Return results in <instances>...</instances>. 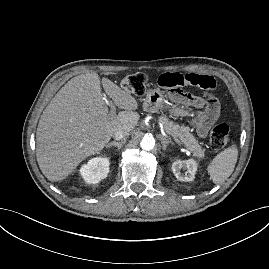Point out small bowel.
<instances>
[{
    "label": "small bowel",
    "mask_w": 269,
    "mask_h": 269,
    "mask_svg": "<svg viewBox=\"0 0 269 269\" xmlns=\"http://www.w3.org/2000/svg\"><path fill=\"white\" fill-rule=\"evenodd\" d=\"M157 83L159 86L167 89L186 85L197 96L195 97L181 92L174 93V99L176 101L191 104L201 109V113L195 121L197 133L201 137H204L209 128L221 117V108L219 103L215 104L211 101L204 100L201 95L204 89L208 88L215 90L216 88L215 81L211 79L209 75H199L195 73L183 75L175 72H169L167 74L159 75Z\"/></svg>",
    "instance_id": "c3829d8e"
}]
</instances>
